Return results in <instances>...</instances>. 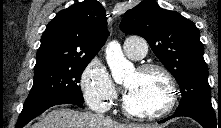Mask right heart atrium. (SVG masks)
<instances>
[{
	"instance_id": "1",
	"label": "right heart atrium",
	"mask_w": 221,
	"mask_h": 128,
	"mask_svg": "<svg viewBox=\"0 0 221 128\" xmlns=\"http://www.w3.org/2000/svg\"><path fill=\"white\" fill-rule=\"evenodd\" d=\"M81 87L86 103L94 109L107 106L114 95V84L102 60L89 61L81 77Z\"/></svg>"
}]
</instances>
